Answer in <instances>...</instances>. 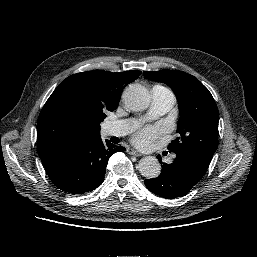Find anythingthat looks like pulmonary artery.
Returning <instances> with one entry per match:
<instances>
[{"mask_svg": "<svg viewBox=\"0 0 257 257\" xmlns=\"http://www.w3.org/2000/svg\"><path fill=\"white\" fill-rule=\"evenodd\" d=\"M151 95L150 117H158L167 113L175 103L173 92L162 85H155ZM135 124L136 122L133 120L112 121L106 125L105 132L109 136H123L130 132Z\"/></svg>", "mask_w": 257, "mask_h": 257, "instance_id": "pulmonary-artery-1", "label": "pulmonary artery"}]
</instances>
